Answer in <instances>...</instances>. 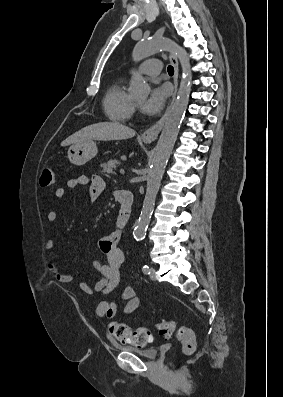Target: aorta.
Wrapping results in <instances>:
<instances>
[{
	"mask_svg": "<svg viewBox=\"0 0 283 397\" xmlns=\"http://www.w3.org/2000/svg\"><path fill=\"white\" fill-rule=\"evenodd\" d=\"M156 51H170L176 55L182 68V78L177 92V97L168 114L151 162L143 207L133 232L134 238L137 241L142 240L145 237L152 211L154 209L156 195L164 173V168L177 139L180 124L189 102L192 85V72L190 69L188 54L185 49L171 40L153 37L151 40L141 41L135 46L132 56L134 61L138 62L147 58ZM130 90L133 95L143 97L148 95L150 87L142 76H136L131 80Z\"/></svg>",
	"mask_w": 283,
	"mask_h": 397,
	"instance_id": "762f6f07",
	"label": "aorta"
}]
</instances>
